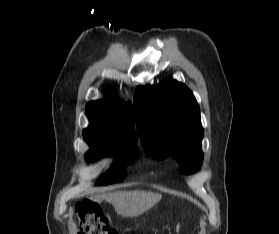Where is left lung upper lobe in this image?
Returning a JSON list of instances; mask_svg holds the SVG:
<instances>
[{
  "mask_svg": "<svg viewBox=\"0 0 279 234\" xmlns=\"http://www.w3.org/2000/svg\"><path fill=\"white\" fill-rule=\"evenodd\" d=\"M134 116L141 143L159 159L171 155L180 171L192 174L203 162V127L199 105L190 89L168 78L156 86H138Z\"/></svg>",
  "mask_w": 279,
  "mask_h": 234,
  "instance_id": "left-lung-upper-lobe-1",
  "label": "left lung upper lobe"
}]
</instances>
